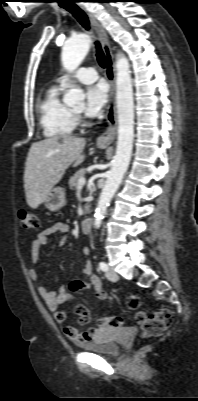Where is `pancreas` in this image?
Here are the masks:
<instances>
[{
  "mask_svg": "<svg viewBox=\"0 0 198 401\" xmlns=\"http://www.w3.org/2000/svg\"><path fill=\"white\" fill-rule=\"evenodd\" d=\"M85 174H86L85 169H80L79 171H77L68 181L69 188L71 190L75 189L77 187L78 180L81 177H84ZM87 213H89L88 205L85 207V214Z\"/></svg>",
  "mask_w": 198,
  "mask_h": 401,
  "instance_id": "cf45deb5",
  "label": "pancreas"
}]
</instances>
